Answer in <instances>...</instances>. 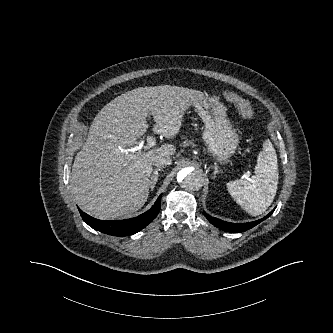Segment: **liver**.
Masks as SVG:
<instances>
[{
  "label": "liver",
  "mask_w": 333,
  "mask_h": 333,
  "mask_svg": "<svg viewBox=\"0 0 333 333\" xmlns=\"http://www.w3.org/2000/svg\"><path fill=\"white\" fill-rule=\"evenodd\" d=\"M204 94L170 85L139 87L113 99L94 118L87 140L75 157L70 187L78 205L91 216L110 220L141 209L149 196L155 156H172L175 146L149 151L124 150L153 131L174 139L186 110Z\"/></svg>",
  "instance_id": "6515ba94"
}]
</instances>
